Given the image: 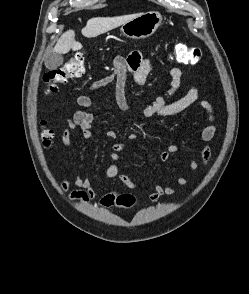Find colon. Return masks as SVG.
<instances>
[{
    "instance_id": "1",
    "label": "colon",
    "mask_w": 249,
    "mask_h": 294,
    "mask_svg": "<svg viewBox=\"0 0 249 294\" xmlns=\"http://www.w3.org/2000/svg\"><path fill=\"white\" fill-rule=\"evenodd\" d=\"M174 57L176 61L183 65H195L202 59V50L199 47H190L178 44L174 47ZM116 71L125 69L126 62L124 57L114 60ZM85 73L84 55L80 52L76 53L61 67L51 70L44 74L43 81L46 84V92L53 93L57 91L60 84L67 83L69 80L79 79ZM54 137L51 129L42 130V139L45 146H49ZM134 203V197L129 194H121L116 200V204L120 206H130Z\"/></svg>"
}]
</instances>
